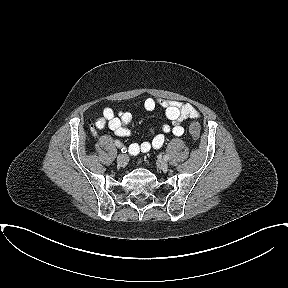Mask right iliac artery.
Here are the masks:
<instances>
[{"mask_svg": "<svg viewBox=\"0 0 288 288\" xmlns=\"http://www.w3.org/2000/svg\"><path fill=\"white\" fill-rule=\"evenodd\" d=\"M115 145H116L118 148H121V147H122V143H121L119 140H116V141H115Z\"/></svg>", "mask_w": 288, "mask_h": 288, "instance_id": "1", "label": "right iliac artery"}]
</instances>
